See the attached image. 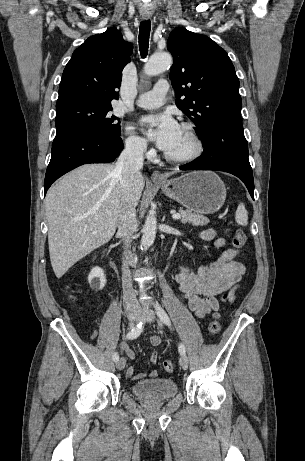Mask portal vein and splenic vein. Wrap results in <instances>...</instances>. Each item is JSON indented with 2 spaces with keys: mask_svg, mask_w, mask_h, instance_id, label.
Wrapping results in <instances>:
<instances>
[{
  "mask_svg": "<svg viewBox=\"0 0 305 461\" xmlns=\"http://www.w3.org/2000/svg\"><path fill=\"white\" fill-rule=\"evenodd\" d=\"M109 214H110V213H109ZM172 218H173V219H180V218H181V214H179V213H174V214L172 215Z\"/></svg>",
  "mask_w": 305,
  "mask_h": 461,
  "instance_id": "18ae733b",
  "label": "portal vein and splenic vein"
}]
</instances>
